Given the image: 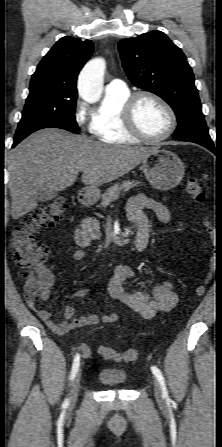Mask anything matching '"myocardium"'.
I'll return each instance as SVG.
<instances>
[{
  "mask_svg": "<svg viewBox=\"0 0 222 447\" xmlns=\"http://www.w3.org/2000/svg\"><path fill=\"white\" fill-rule=\"evenodd\" d=\"M142 98H150L156 101L167 112L169 117V127L163 135L159 137H150L146 135L143 131H141V129L138 127L135 120V109L138 102ZM121 121L123 128L129 134L148 143H160L168 139L174 133L177 127V117L170 104L160 95L148 90L138 91L127 97V99L124 101L122 105Z\"/></svg>",
  "mask_w": 222,
  "mask_h": 447,
  "instance_id": "f54148a6",
  "label": "myocardium"
}]
</instances>
